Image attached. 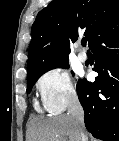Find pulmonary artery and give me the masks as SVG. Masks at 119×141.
<instances>
[{
    "label": "pulmonary artery",
    "instance_id": "obj_1",
    "mask_svg": "<svg viewBox=\"0 0 119 141\" xmlns=\"http://www.w3.org/2000/svg\"><path fill=\"white\" fill-rule=\"evenodd\" d=\"M78 59L81 62H86L88 60V56H87L86 52L80 49L78 52Z\"/></svg>",
    "mask_w": 119,
    "mask_h": 141
}]
</instances>
